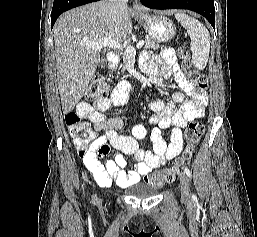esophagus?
Returning a JSON list of instances; mask_svg holds the SVG:
<instances>
[{
    "label": "esophagus",
    "mask_w": 257,
    "mask_h": 237,
    "mask_svg": "<svg viewBox=\"0 0 257 237\" xmlns=\"http://www.w3.org/2000/svg\"><path fill=\"white\" fill-rule=\"evenodd\" d=\"M132 10L134 12H144L145 11V8L144 6L138 1V0H135V2L133 3V7H132Z\"/></svg>",
    "instance_id": "obj_1"
}]
</instances>
